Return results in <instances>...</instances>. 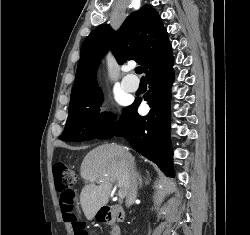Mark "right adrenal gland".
I'll list each match as a JSON object with an SVG mask.
<instances>
[{
  "instance_id": "right-adrenal-gland-1",
  "label": "right adrenal gland",
  "mask_w": 250,
  "mask_h": 235,
  "mask_svg": "<svg viewBox=\"0 0 250 235\" xmlns=\"http://www.w3.org/2000/svg\"><path fill=\"white\" fill-rule=\"evenodd\" d=\"M137 177H138V181H139V188H142V184H143V179L141 177V175L139 174V172H137Z\"/></svg>"
}]
</instances>
